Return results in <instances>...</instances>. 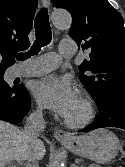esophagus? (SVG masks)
<instances>
[{"label":"esophagus","mask_w":125,"mask_h":167,"mask_svg":"<svg viewBox=\"0 0 125 167\" xmlns=\"http://www.w3.org/2000/svg\"><path fill=\"white\" fill-rule=\"evenodd\" d=\"M42 5L46 8H49L50 0H42ZM54 136L57 140H71V139H73V136L70 133L65 132L61 129H56L54 132Z\"/></svg>","instance_id":"1"}]
</instances>
